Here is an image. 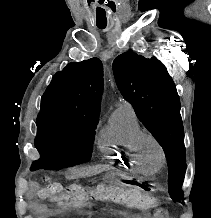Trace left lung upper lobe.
I'll use <instances>...</instances> for the list:
<instances>
[{"label":"left lung upper lobe","instance_id":"1","mask_svg":"<svg viewBox=\"0 0 211 218\" xmlns=\"http://www.w3.org/2000/svg\"><path fill=\"white\" fill-rule=\"evenodd\" d=\"M115 80L123 97L164 149L169 167V194L184 200L181 190L186 172L184 131L176 86L156 58L128 51L113 62Z\"/></svg>","mask_w":211,"mask_h":218}]
</instances>
